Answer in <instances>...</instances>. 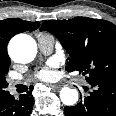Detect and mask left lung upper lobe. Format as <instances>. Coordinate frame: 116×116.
<instances>
[{
    "instance_id": "left-lung-upper-lobe-1",
    "label": "left lung upper lobe",
    "mask_w": 116,
    "mask_h": 116,
    "mask_svg": "<svg viewBox=\"0 0 116 116\" xmlns=\"http://www.w3.org/2000/svg\"><path fill=\"white\" fill-rule=\"evenodd\" d=\"M40 30L52 33L70 55L66 69L87 75L89 84L116 80V26L88 17L49 20Z\"/></svg>"
}]
</instances>
